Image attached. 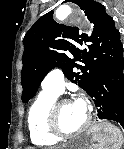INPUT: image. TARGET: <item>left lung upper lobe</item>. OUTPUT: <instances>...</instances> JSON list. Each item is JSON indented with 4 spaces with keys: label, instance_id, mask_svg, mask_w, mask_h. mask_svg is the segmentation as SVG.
Here are the masks:
<instances>
[{
    "label": "left lung upper lobe",
    "instance_id": "obj_1",
    "mask_svg": "<svg viewBox=\"0 0 124 149\" xmlns=\"http://www.w3.org/2000/svg\"><path fill=\"white\" fill-rule=\"evenodd\" d=\"M71 2L84 11L93 24V32L88 35L77 27L58 24L53 19V11L34 23L23 39L21 84L24 103L36 94L41 81L56 66L60 65L71 82L87 91L105 67L123 58L120 33L104 6L94 0ZM85 43L87 48L80 50L78 45Z\"/></svg>",
    "mask_w": 124,
    "mask_h": 149
}]
</instances>
